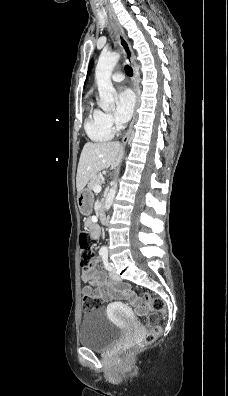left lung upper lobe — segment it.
I'll list each match as a JSON object with an SVG mask.
<instances>
[{
	"mask_svg": "<svg viewBox=\"0 0 228 396\" xmlns=\"http://www.w3.org/2000/svg\"><path fill=\"white\" fill-rule=\"evenodd\" d=\"M92 67V62L90 63L89 69Z\"/></svg>",
	"mask_w": 228,
	"mask_h": 396,
	"instance_id": "5c2ea615",
	"label": "left lung upper lobe"
}]
</instances>
